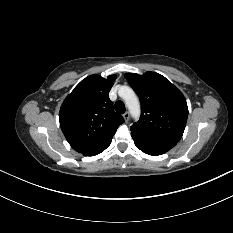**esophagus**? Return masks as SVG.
<instances>
[{
	"instance_id": "obj_1",
	"label": "esophagus",
	"mask_w": 233,
	"mask_h": 233,
	"mask_svg": "<svg viewBox=\"0 0 233 233\" xmlns=\"http://www.w3.org/2000/svg\"><path fill=\"white\" fill-rule=\"evenodd\" d=\"M123 118H124V120L127 122V121L129 120V118H130L129 112H125V113L123 114Z\"/></svg>"
}]
</instances>
